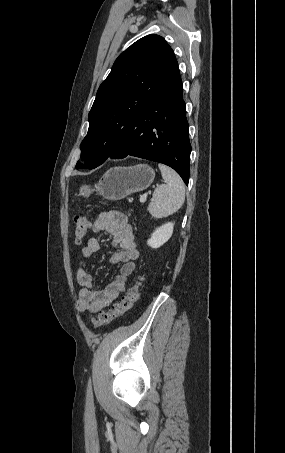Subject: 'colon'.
<instances>
[{
    "mask_svg": "<svg viewBox=\"0 0 285 453\" xmlns=\"http://www.w3.org/2000/svg\"><path fill=\"white\" fill-rule=\"evenodd\" d=\"M88 229V217L85 214L76 215L74 219V238L77 245H80L83 242ZM142 281L143 276H138L133 286L121 298V300L118 303H115L109 310L100 312L97 319L93 320V325L95 327H100L124 316L138 301Z\"/></svg>",
    "mask_w": 285,
    "mask_h": 453,
    "instance_id": "1",
    "label": "colon"
}]
</instances>
